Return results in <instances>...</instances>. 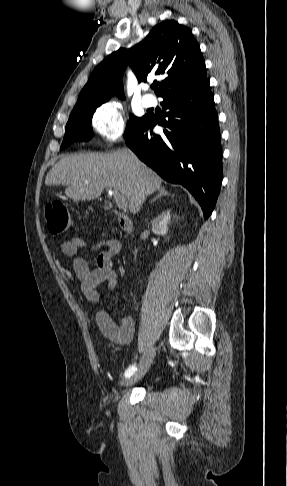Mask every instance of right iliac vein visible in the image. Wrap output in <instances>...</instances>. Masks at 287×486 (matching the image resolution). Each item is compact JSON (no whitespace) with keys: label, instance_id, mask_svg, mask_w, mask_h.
Returning <instances> with one entry per match:
<instances>
[{"label":"right iliac vein","instance_id":"right-iliac-vein-1","mask_svg":"<svg viewBox=\"0 0 287 486\" xmlns=\"http://www.w3.org/2000/svg\"><path fill=\"white\" fill-rule=\"evenodd\" d=\"M154 356H155V347L151 346L144 352L140 360L137 371L132 376H130L128 379L125 380L124 382L125 387H130L143 378V376L148 371L154 359Z\"/></svg>","mask_w":287,"mask_h":486}]
</instances>
